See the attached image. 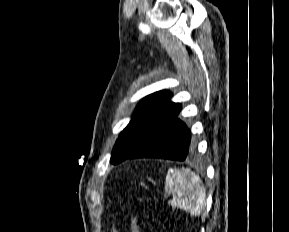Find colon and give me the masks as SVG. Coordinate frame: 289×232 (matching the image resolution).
Here are the masks:
<instances>
[{
    "label": "colon",
    "instance_id": "colon-1",
    "mask_svg": "<svg viewBox=\"0 0 289 232\" xmlns=\"http://www.w3.org/2000/svg\"><path fill=\"white\" fill-rule=\"evenodd\" d=\"M130 227H131V232H140V221L135 215L130 216ZM111 232H118L115 224H112Z\"/></svg>",
    "mask_w": 289,
    "mask_h": 232
}]
</instances>
